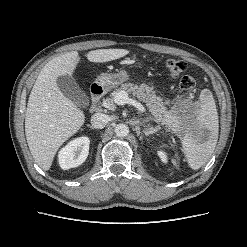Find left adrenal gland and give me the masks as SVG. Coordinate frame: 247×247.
Instances as JSON below:
<instances>
[{"mask_svg": "<svg viewBox=\"0 0 247 247\" xmlns=\"http://www.w3.org/2000/svg\"><path fill=\"white\" fill-rule=\"evenodd\" d=\"M160 129H161L160 126H156V127L150 126L149 128H147V130L144 133L146 136H149L150 134L156 133Z\"/></svg>", "mask_w": 247, "mask_h": 247, "instance_id": "a2214340", "label": "left adrenal gland"}]
</instances>
